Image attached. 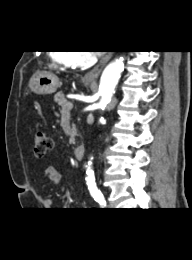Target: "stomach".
<instances>
[{
  "label": "stomach",
  "instance_id": "1",
  "mask_svg": "<svg viewBox=\"0 0 192 260\" xmlns=\"http://www.w3.org/2000/svg\"><path fill=\"white\" fill-rule=\"evenodd\" d=\"M58 87H60V81L52 73H37L30 80L31 91L39 95L55 93Z\"/></svg>",
  "mask_w": 192,
  "mask_h": 260
}]
</instances>
